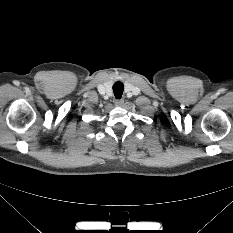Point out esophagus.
I'll return each instance as SVG.
<instances>
[{"label": "esophagus", "instance_id": "obj_1", "mask_svg": "<svg viewBox=\"0 0 233 233\" xmlns=\"http://www.w3.org/2000/svg\"><path fill=\"white\" fill-rule=\"evenodd\" d=\"M123 103H124V100H123V99H116V100H115V106H117V107L122 106Z\"/></svg>", "mask_w": 233, "mask_h": 233}]
</instances>
